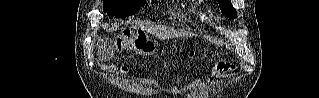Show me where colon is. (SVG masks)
Returning a JSON list of instances; mask_svg holds the SVG:
<instances>
[{"label":"colon","instance_id":"obj_1","mask_svg":"<svg viewBox=\"0 0 319 98\" xmlns=\"http://www.w3.org/2000/svg\"><path fill=\"white\" fill-rule=\"evenodd\" d=\"M116 47L119 51L130 50L147 58L160 56L163 54L162 51L156 50L154 43L148 38L147 34L142 30H124V32L116 38ZM194 55V51H190L188 53L189 57H193ZM233 69L234 67L232 65L224 63H219L215 67V70L221 73H227L232 71Z\"/></svg>","mask_w":319,"mask_h":98}]
</instances>
